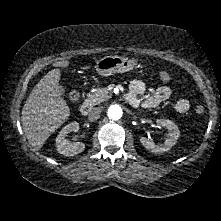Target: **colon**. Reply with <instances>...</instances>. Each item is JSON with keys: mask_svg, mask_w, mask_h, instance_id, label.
Segmentation results:
<instances>
[{"mask_svg": "<svg viewBox=\"0 0 221 221\" xmlns=\"http://www.w3.org/2000/svg\"><path fill=\"white\" fill-rule=\"evenodd\" d=\"M162 72H165V73H164L163 76L160 75L161 72L159 73L160 79L164 82L170 81L171 80V75L166 71H162ZM78 98H79V93L77 91L70 92V99L72 101H76V100H78ZM195 111H196L197 114H202V113H204V108H203V106H197L195 108Z\"/></svg>", "mask_w": 221, "mask_h": 221, "instance_id": "5ec220e1", "label": "colon"}]
</instances>
